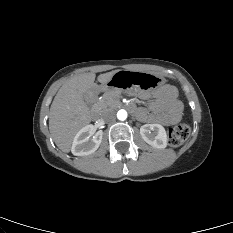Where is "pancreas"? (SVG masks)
Masks as SVG:
<instances>
[{
  "label": "pancreas",
  "mask_w": 233,
  "mask_h": 233,
  "mask_svg": "<svg viewBox=\"0 0 233 233\" xmlns=\"http://www.w3.org/2000/svg\"><path fill=\"white\" fill-rule=\"evenodd\" d=\"M120 93L116 91L106 92L97 102L102 111L116 109L120 105Z\"/></svg>",
  "instance_id": "cf45deb5"
}]
</instances>
